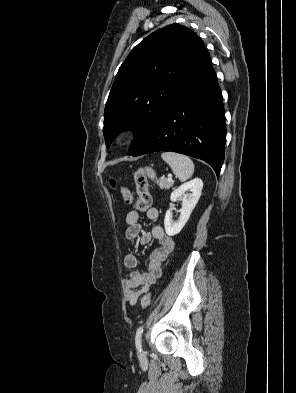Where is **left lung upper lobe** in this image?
Listing matches in <instances>:
<instances>
[{"mask_svg":"<svg viewBox=\"0 0 296 393\" xmlns=\"http://www.w3.org/2000/svg\"><path fill=\"white\" fill-rule=\"evenodd\" d=\"M210 58L192 30L168 25L143 39L120 66L104 111L109 147L119 132L134 130L129 155L150 136L167 107Z\"/></svg>","mask_w":296,"mask_h":393,"instance_id":"1","label":"left lung upper lobe"}]
</instances>
